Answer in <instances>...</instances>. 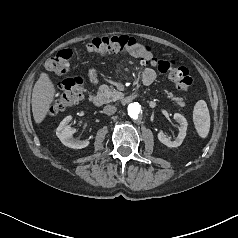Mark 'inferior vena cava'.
Returning a JSON list of instances; mask_svg holds the SVG:
<instances>
[{"instance_id":"obj_1","label":"inferior vena cava","mask_w":238,"mask_h":238,"mask_svg":"<svg viewBox=\"0 0 238 238\" xmlns=\"http://www.w3.org/2000/svg\"><path fill=\"white\" fill-rule=\"evenodd\" d=\"M116 110H117V108L115 106H113V105H106L103 108V112L106 115H113L116 112Z\"/></svg>"}]
</instances>
